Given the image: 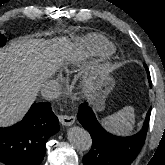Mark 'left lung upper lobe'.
<instances>
[{
    "mask_svg": "<svg viewBox=\"0 0 165 165\" xmlns=\"http://www.w3.org/2000/svg\"><path fill=\"white\" fill-rule=\"evenodd\" d=\"M144 67H145L146 72H147V75H148V80H149V82H151V78H150V74H149L148 67H147V65H146V64H144Z\"/></svg>",
    "mask_w": 165,
    "mask_h": 165,
    "instance_id": "5c2ea615",
    "label": "left lung upper lobe"
}]
</instances>
